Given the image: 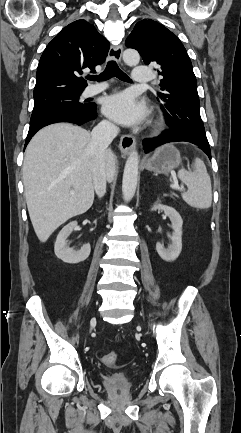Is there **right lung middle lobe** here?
Here are the masks:
<instances>
[{
	"mask_svg": "<svg viewBox=\"0 0 241 433\" xmlns=\"http://www.w3.org/2000/svg\"><path fill=\"white\" fill-rule=\"evenodd\" d=\"M81 93L82 91H57L34 97L30 123L54 111L86 107L87 103L79 102Z\"/></svg>",
	"mask_w": 241,
	"mask_h": 433,
	"instance_id": "obj_1",
	"label": "right lung middle lobe"
}]
</instances>
